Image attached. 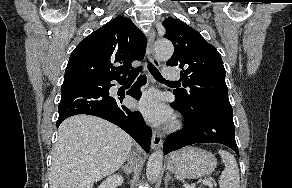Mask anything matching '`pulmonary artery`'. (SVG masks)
Segmentation results:
<instances>
[{
	"instance_id": "1",
	"label": "pulmonary artery",
	"mask_w": 292,
	"mask_h": 188,
	"mask_svg": "<svg viewBox=\"0 0 292 188\" xmlns=\"http://www.w3.org/2000/svg\"><path fill=\"white\" fill-rule=\"evenodd\" d=\"M163 76L166 79L175 80V79H178L179 78V73H178V71L175 68L166 67L163 70Z\"/></svg>"
}]
</instances>
